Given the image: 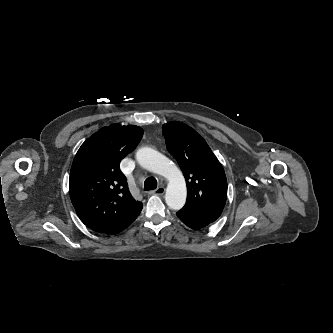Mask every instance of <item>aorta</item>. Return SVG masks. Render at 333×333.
Listing matches in <instances>:
<instances>
[{"instance_id": "1", "label": "aorta", "mask_w": 333, "mask_h": 333, "mask_svg": "<svg viewBox=\"0 0 333 333\" xmlns=\"http://www.w3.org/2000/svg\"><path fill=\"white\" fill-rule=\"evenodd\" d=\"M136 160L145 169L157 173L168 180L165 201L171 209H181L187 196L182 172L167 157L149 147L140 148L136 152Z\"/></svg>"}]
</instances>
